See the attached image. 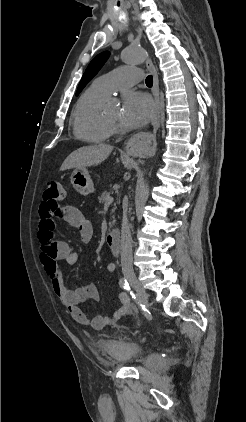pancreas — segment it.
<instances>
[{
  "label": "pancreas",
  "mask_w": 246,
  "mask_h": 422,
  "mask_svg": "<svg viewBox=\"0 0 246 422\" xmlns=\"http://www.w3.org/2000/svg\"><path fill=\"white\" fill-rule=\"evenodd\" d=\"M110 195V193L109 192H107V191H104V192H102V194L99 196V202L100 203H105L106 202V199H107V197ZM114 210V209H113ZM112 210V211H113ZM113 219H114V217H112ZM113 224H114V220L113 221H111V222H109V227L111 228L112 226H113Z\"/></svg>",
  "instance_id": "obj_1"
}]
</instances>
